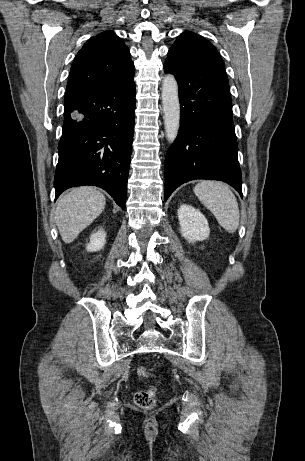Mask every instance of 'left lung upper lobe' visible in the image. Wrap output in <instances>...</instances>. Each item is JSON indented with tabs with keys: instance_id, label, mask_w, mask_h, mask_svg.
Instances as JSON below:
<instances>
[{
	"instance_id": "1",
	"label": "left lung upper lobe",
	"mask_w": 305,
	"mask_h": 461,
	"mask_svg": "<svg viewBox=\"0 0 305 461\" xmlns=\"http://www.w3.org/2000/svg\"><path fill=\"white\" fill-rule=\"evenodd\" d=\"M167 59L190 65L211 63L224 65L216 48L202 36L191 32H183L178 36L168 52Z\"/></svg>"
}]
</instances>
